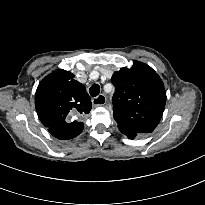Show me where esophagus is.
I'll return each mask as SVG.
<instances>
[{
    "label": "esophagus",
    "mask_w": 205,
    "mask_h": 205,
    "mask_svg": "<svg viewBox=\"0 0 205 205\" xmlns=\"http://www.w3.org/2000/svg\"><path fill=\"white\" fill-rule=\"evenodd\" d=\"M92 103L95 106H102L106 103V97L103 94H100L99 96L92 99Z\"/></svg>",
    "instance_id": "34e87169"
}]
</instances>
